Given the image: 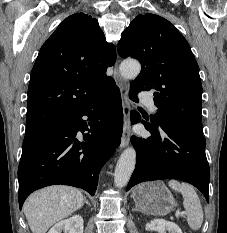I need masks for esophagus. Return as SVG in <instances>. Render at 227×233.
<instances>
[{
    "mask_svg": "<svg viewBox=\"0 0 227 233\" xmlns=\"http://www.w3.org/2000/svg\"><path fill=\"white\" fill-rule=\"evenodd\" d=\"M114 79L120 88L121 91V97H122V107H123V134L121 138V143H120V149L125 148L128 146L130 142V137H131V127H130V110H131V104L129 100V82L124 79L119 71L118 67L116 65L115 70H114Z\"/></svg>",
    "mask_w": 227,
    "mask_h": 233,
    "instance_id": "1",
    "label": "esophagus"
}]
</instances>
